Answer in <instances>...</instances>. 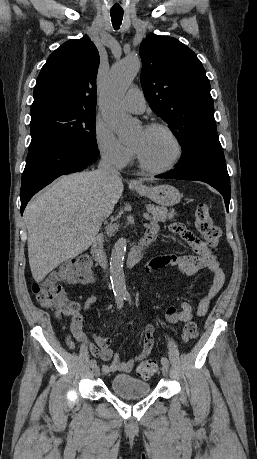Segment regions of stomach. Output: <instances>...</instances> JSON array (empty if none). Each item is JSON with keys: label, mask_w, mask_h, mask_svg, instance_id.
<instances>
[{"label": "stomach", "mask_w": 257, "mask_h": 459, "mask_svg": "<svg viewBox=\"0 0 257 459\" xmlns=\"http://www.w3.org/2000/svg\"><path fill=\"white\" fill-rule=\"evenodd\" d=\"M135 190L141 196L151 199L153 202L162 206H173L181 199L180 192L170 185L159 186H136Z\"/></svg>", "instance_id": "obj_1"}]
</instances>
